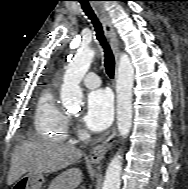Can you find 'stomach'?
<instances>
[{
  "label": "stomach",
  "mask_w": 188,
  "mask_h": 189,
  "mask_svg": "<svg viewBox=\"0 0 188 189\" xmlns=\"http://www.w3.org/2000/svg\"><path fill=\"white\" fill-rule=\"evenodd\" d=\"M44 181L42 173L28 172L15 182L12 189H41Z\"/></svg>",
  "instance_id": "1"
}]
</instances>
